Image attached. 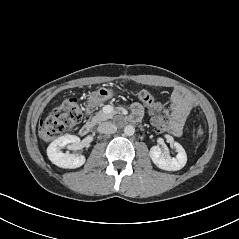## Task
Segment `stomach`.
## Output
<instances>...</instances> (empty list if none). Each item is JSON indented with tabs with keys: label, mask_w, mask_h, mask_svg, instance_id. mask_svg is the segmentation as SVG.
Here are the masks:
<instances>
[{
	"label": "stomach",
	"mask_w": 239,
	"mask_h": 239,
	"mask_svg": "<svg viewBox=\"0 0 239 239\" xmlns=\"http://www.w3.org/2000/svg\"><path fill=\"white\" fill-rule=\"evenodd\" d=\"M113 97V91L107 88H99L94 91L88 98L87 107L93 109L97 106H101L105 101Z\"/></svg>",
	"instance_id": "1"
}]
</instances>
